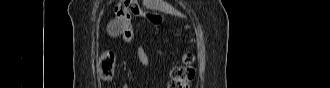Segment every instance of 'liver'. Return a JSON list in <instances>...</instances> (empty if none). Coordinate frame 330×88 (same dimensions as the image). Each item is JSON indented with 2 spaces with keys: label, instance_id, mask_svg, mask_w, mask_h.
<instances>
[{
  "label": "liver",
  "instance_id": "liver-1",
  "mask_svg": "<svg viewBox=\"0 0 330 88\" xmlns=\"http://www.w3.org/2000/svg\"><path fill=\"white\" fill-rule=\"evenodd\" d=\"M149 2H148V0H145L144 2H143V4L145 5V4H148Z\"/></svg>",
  "mask_w": 330,
  "mask_h": 88
}]
</instances>
